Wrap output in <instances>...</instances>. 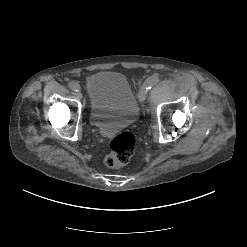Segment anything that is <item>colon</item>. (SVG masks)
I'll return each mask as SVG.
<instances>
[{
	"instance_id": "5ec220e1",
	"label": "colon",
	"mask_w": 247,
	"mask_h": 247,
	"mask_svg": "<svg viewBox=\"0 0 247 247\" xmlns=\"http://www.w3.org/2000/svg\"><path fill=\"white\" fill-rule=\"evenodd\" d=\"M136 138L133 133L124 131L117 134L109 142V152L105 156V164L111 168H119L127 164L133 156Z\"/></svg>"
}]
</instances>
